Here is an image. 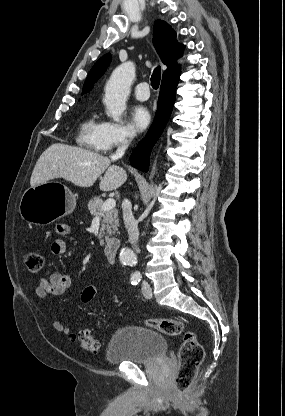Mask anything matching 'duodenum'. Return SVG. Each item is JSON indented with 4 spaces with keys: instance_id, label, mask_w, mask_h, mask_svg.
I'll return each instance as SVG.
<instances>
[{
    "instance_id": "duodenum-1",
    "label": "duodenum",
    "mask_w": 285,
    "mask_h": 416,
    "mask_svg": "<svg viewBox=\"0 0 285 416\" xmlns=\"http://www.w3.org/2000/svg\"><path fill=\"white\" fill-rule=\"evenodd\" d=\"M120 242L118 239H110L103 246V252L109 262H115L117 259Z\"/></svg>"
}]
</instances>
